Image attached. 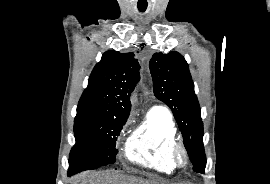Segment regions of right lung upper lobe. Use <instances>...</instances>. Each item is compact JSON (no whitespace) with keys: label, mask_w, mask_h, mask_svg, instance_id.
Masks as SVG:
<instances>
[{"label":"right lung upper lobe","mask_w":270,"mask_h":184,"mask_svg":"<svg viewBox=\"0 0 270 184\" xmlns=\"http://www.w3.org/2000/svg\"><path fill=\"white\" fill-rule=\"evenodd\" d=\"M133 56L132 52H105L90 75L79 105L91 108L98 116L126 121L131 110L130 93L140 79V66Z\"/></svg>","instance_id":"1"}]
</instances>
